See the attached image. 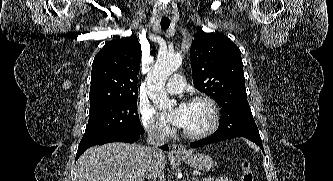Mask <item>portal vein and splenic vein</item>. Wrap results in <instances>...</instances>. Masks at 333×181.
I'll use <instances>...</instances> for the list:
<instances>
[{"mask_svg":"<svg viewBox=\"0 0 333 181\" xmlns=\"http://www.w3.org/2000/svg\"><path fill=\"white\" fill-rule=\"evenodd\" d=\"M203 181H213V178L207 177V178H204Z\"/></svg>","mask_w":333,"mask_h":181,"instance_id":"obj_1","label":"portal vein and splenic vein"}]
</instances>
